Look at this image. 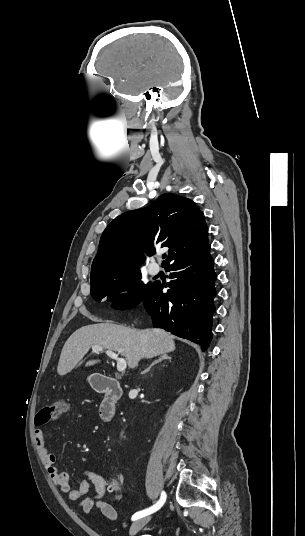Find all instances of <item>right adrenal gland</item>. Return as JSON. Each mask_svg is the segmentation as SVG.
I'll list each match as a JSON object with an SVG mask.
<instances>
[{"instance_id":"1","label":"right adrenal gland","mask_w":305,"mask_h":536,"mask_svg":"<svg viewBox=\"0 0 305 536\" xmlns=\"http://www.w3.org/2000/svg\"><path fill=\"white\" fill-rule=\"evenodd\" d=\"M162 360H171V358H169V356H167V354H163V356H160L159 360H155V362H153V364H151V366H149V368H147V370H144V372H141V374H146V372H149L150 368H152V366H155V364H159V362H162Z\"/></svg>"}]
</instances>
